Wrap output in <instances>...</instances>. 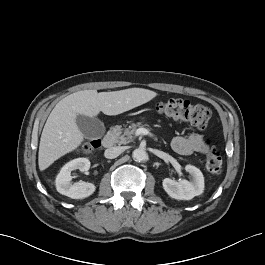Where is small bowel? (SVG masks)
Instances as JSON below:
<instances>
[{
    "instance_id": "small-bowel-1",
    "label": "small bowel",
    "mask_w": 265,
    "mask_h": 265,
    "mask_svg": "<svg viewBox=\"0 0 265 265\" xmlns=\"http://www.w3.org/2000/svg\"><path fill=\"white\" fill-rule=\"evenodd\" d=\"M172 149L180 155L193 153H208L207 142L198 134H191L187 137L177 136L171 142Z\"/></svg>"
}]
</instances>
